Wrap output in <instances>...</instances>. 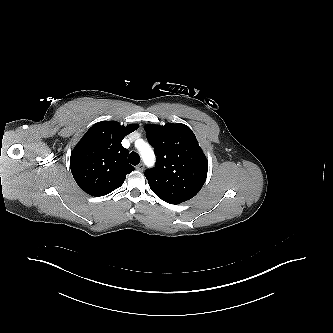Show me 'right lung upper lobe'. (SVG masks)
Wrapping results in <instances>:
<instances>
[{"label":"right lung upper lobe","instance_id":"cb5924a9","mask_svg":"<svg viewBox=\"0 0 333 333\" xmlns=\"http://www.w3.org/2000/svg\"><path fill=\"white\" fill-rule=\"evenodd\" d=\"M137 128V124L125 127L116 121H102L85 133L70 157L72 175L83 191L99 197L122 186L134 167L127 162L128 150L121 141Z\"/></svg>","mask_w":333,"mask_h":333}]
</instances>
